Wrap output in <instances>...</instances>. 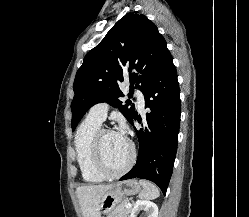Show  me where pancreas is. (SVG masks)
<instances>
[{"mask_svg": "<svg viewBox=\"0 0 249 217\" xmlns=\"http://www.w3.org/2000/svg\"><path fill=\"white\" fill-rule=\"evenodd\" d=\"M128 201L124 200L121 204L116 206L114 210L107 216V217H127L129 213L131 212V208L127 209Z\"/></svg>", "mask_w": 249, "mask_h": 217, "instance_id": "obj_1", "label": "pancreas"}]
</instances>
